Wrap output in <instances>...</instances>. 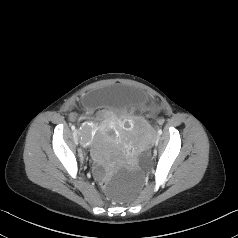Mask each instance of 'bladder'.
Wrapping results in <instances>:
<instances>
[{
  "instance_id": "bladder-1",
  "label": "bladder",
  "mask_w": 238,
  "mask_h": 238,
  "mask_svg": "<svg viewBox=\"0 0 238 238\" xmlns=\"http://www.w3.org/2000/svg\"><path fill=\"white\" fill-rule=\"evenodd\" d=\"M86 106L125 114L131 110L139 109L145 104L143 95L132 91L123 85H113L101 90L98 95L90 92L84 98Z\"/></svg>"
}]
</instances>
